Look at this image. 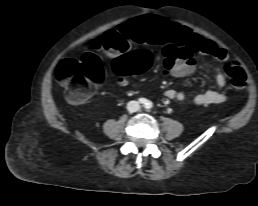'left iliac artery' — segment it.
Returning a JSON list of instances; mask_svg holds the SVG:
<instances>
[{
  "label": "left iliac artery",
  "mask_w": 258,
  "mask_h": 206,
  "mask_svg": "<svg viewBox=\"0 0 258 206\" xmlns=\"http://www.w3.org/2000/svg\"><path fill=\"white\" fill-rule=\"evenodd\" d=\"M146 108H151L152 107V104L150 102L146 103L145 105Z\"/></svg>",
  "instance_id": "obj_1"
}]
</instances>
